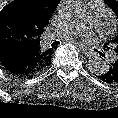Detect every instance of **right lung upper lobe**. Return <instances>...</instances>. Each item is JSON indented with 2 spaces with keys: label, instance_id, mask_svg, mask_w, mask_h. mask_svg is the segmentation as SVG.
Returning a JSON list of instances; mask_svg holds the SVG:
<instances>
[{
  "label": "right lung upper lobe",
  "instance_id": "cb5924a9",
  "mask_svg": "<svg viewBox=\"0 0 118 118\" xmlns=\"http://www.w3.org/2000/svg\"><path fill=\"white\" fill-rule=\"evenodd\" d=\"M29 3L31 30L16 36L6 22L0 19V48L8 45L33 51L37 57L36 71L42 72L51 63L53 49L40 45V37L48 26L49 20L61 0H25Z\"/></svg>",
  "mask_w": 118,
  "mask_h": 118
}]
</instances>
